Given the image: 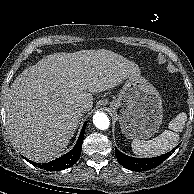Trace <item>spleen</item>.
<instances>
[{"label": "spleen", "mask_w": 194, "mask_h": 194, "mask_svg": "<svg viewBox=\"0 0 194 194\" xmlns=\"http://www.w3.org/2000/svg\"><path fill=\"white\" fill-rule=\"evenodd\" d=\"M186 121L187 114L181 112L175 119L169 122L168 127L170 130H165L159 136L149 141L134 139L131 143L133 153L139 157L148 158L170 151L177 145L179 140L177 132H182Z\"/></svg>", "instance_id": "spleen-1"}]
</instances>
